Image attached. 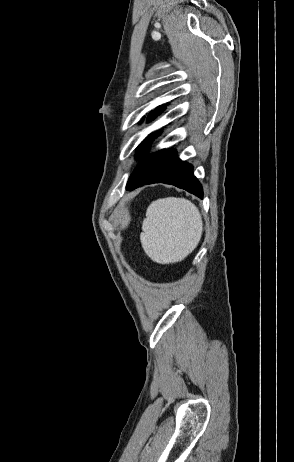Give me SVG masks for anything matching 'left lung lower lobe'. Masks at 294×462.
Returning a JSON list of instances; mask_svg holds the SVG:
<instances>
[{"label": "left lung lower lobe", "instance_id": "left-lung-lower-lobe-1", "mask_svg": "<svg viewBox=\"0 0 294 462\" xmlns=\"http://www.w3.org/2000/svg\"><path fill=\"white\" fill-rule=\"evenodd\" d=\"M163 109L164 106L152 111L147 120L153 119ZM154 137H156V134L151 135L149 140L142 142L137 149V158L147 154ZM152 183L175 185L201 199L203 198L202 186L193 175V167L181 161L174 149L157 151L144 158L131 174L126 189L134 190Z\"/></svg>", "mask_w": 294, "mask_h": 462}]
</instances>
